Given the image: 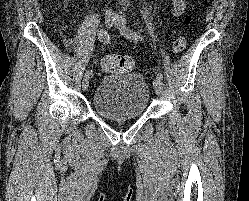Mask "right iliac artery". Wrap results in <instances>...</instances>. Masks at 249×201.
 <instances>
[{
  "label": "right iliac artery",
  "instance_id": "obj_1",
  "mask_svg": "<svg viewBox=\"0 0 249 201\" xmlns=\"http://www.w3.org/2000/svg\"><path fill=\"white\" fill-rule=\"evenodd\" d=\"M99 40L104 44H108L110 42V37L106 30H102L99 32ZM85 76L92 77L93 72L91 70H88L86 71Z\"/></svg>",
  "mask_w": 249,
  "mask_h": 201
}]
</instances>
